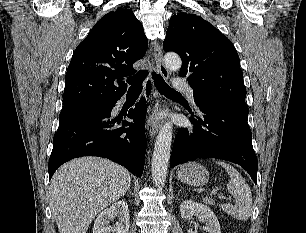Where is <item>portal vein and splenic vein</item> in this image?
<instances>
[{
  "label": "portal vein and splenic vein",
  "mask_w": 306,
  "mask_h": 233,
  "mask_svg": "<svg viewBox=\"0 0 306 233\" xmlns=\"http://www.w3.org/2000/svg\"><path fill=\"white\" fill-rule=\"evenodd\" d=\"M216 193H217V191H216V190H213V191L211 192V195H216ZM219 198H220V199H225L226 197L223 196V195H220Z\"/></svg>",
  "instance_id": "18ae733b"
}]
</instances>
